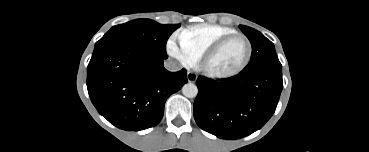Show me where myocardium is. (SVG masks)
I'll list each match as a JSON object with an SVG mask.
<instances>
[{
	"mask_svg": "<svg viewBox=\"0 0 369 152\" xmlns=\"http://www.w3.org/2000/svg\"><path fill=\"white\" fill-rule=\"evenodd\" d=\"M233 39H242L246 43L247 52H246V56L244 60L242 61V63L236 69H234L233 71L227 72V73H219V72H215L211 70L208 67V62L210 61V59L213 58L229 41ZM251 55H252V44L250 40L241 33H233V34L222 37L221 39L213 43L210 47H208L204 51V53L199 59L198 69L204 75L212 79H229V78L237 76L247 67V65L250 62Z\"/></svg>",
	"mask_w": 369,
	"mask_h": 152,
	"instance_id": "1",
	"label": "myocardium"
}]
</instances>
